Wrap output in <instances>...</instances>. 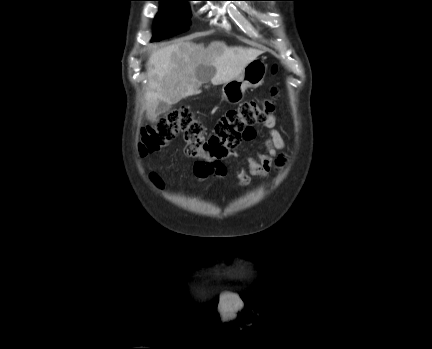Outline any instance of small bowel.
I'll list each match as a JSON object with an SVG mask.
<instances>
[{"label": "small bowel", "instance_id": "1", "mask_svg": "<svg viewBox=\"0 0 432 349\" xmlns=\"http://www.w3.org/2000/svg\"><path fill=\"white\" fill-rule=\"evenodd\" d=\"M263 126L267 129L268 136L263 140L264 150L258 152L255 156L249 157L246 161V166H238L236 168V176L238 183L242 186L250 183L252 177L263 178L268 175L273 166L280 163L278 157L279 152L284 148V139L280 132L276 129V118L269 116ZM260 137L254 131L253 136L247 141L259 139ZM226 167L222 170L209 169L203 163L196 162L193 165V173L200 181H205L210 178H221L226 175Z\"/></svg>", "mask_w": 432, "mask_h": 349}]
</instances>
